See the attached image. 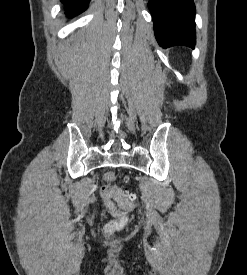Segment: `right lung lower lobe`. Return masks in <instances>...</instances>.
<instances>
[{
    "label": "right lung lower lobe",
    "instance_id": "right-lung-lower-lobe-1",
    "mask_svg": "<svg viewBox=\"0 0 247 275\" xmlns=\"http://www.w3.org/2000/svg\"><path fill=\"white\" fill-rule=\"evenodd\" d=\"M90 0H61L65 6V13L73 17L87 9Z\"/></svg>",
    "mask_w": 247,
    "mask_h": 275
}]
</instances>
